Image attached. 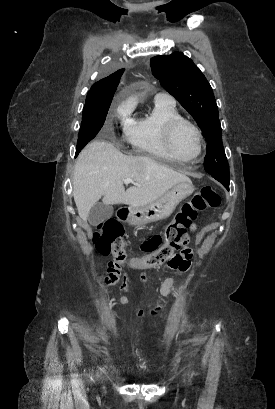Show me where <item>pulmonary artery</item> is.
Instances as JSON below:
<instances>
[{
    "mask_svg": "<svg viewBox=\"0 0 275 409\" xmlns=\"http://www.w3.org/2000/svg\"><path fill=\"white\" fill-rule=\"evenodd\" d=\"M155 103L156 104H164L168 106H175L174 98L169 94H157L155 96Z\"/></svg>",
    "mask_w": 275,
    "mask_h": 409,
    "instance_id": "1",
    "label": "pulmonary artery"
}]
</instances>
